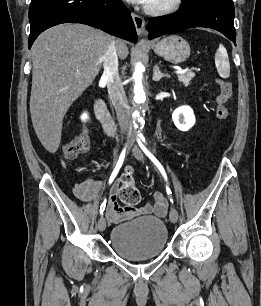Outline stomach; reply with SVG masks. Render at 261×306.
<instances>
[{
    "label": "stomach",
    "mask_w": 261,
    "mask_h": 306,
    "mask_svg": "<svg viewBox=\"0 0 261 306\" xmlns=\"http://www.w3.org/2000/svg\"><path fill=\"white\" fill-rule=\"evenodd\" d=\"M154 52L174 64L186 61L190 56L189 43L178 35H170L154 45Z\"/></svg>",
    "instance_id": "1"
}]
</instances>
